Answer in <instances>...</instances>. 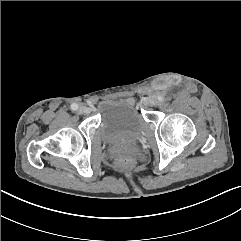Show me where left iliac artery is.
I'll use <instances>...</instances> for the list:
<instances>
[{"instance_id": "left-iliac-artery-1", "label": "left iliac artery", "mask_w": 241, "mask_h": 241, "mask_svg": "<svg viewBox=\"0 0 241 241\" xmlns=\"http://www.w3.org/2000/svg\"><path fill=\"white\" fill-rule=\"evenodd\" d=\"M157 98H158L159 101H163L164 100V98L161 95L158 96Z\"/></svg>"}]
</instances>
